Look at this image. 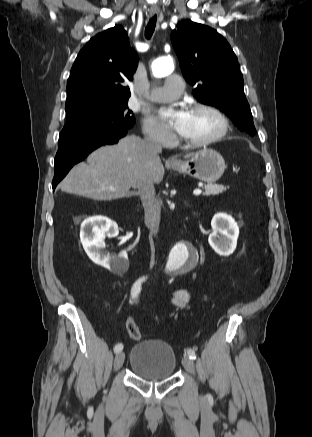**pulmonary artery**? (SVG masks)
Returning a JSON list of instances; mask_svg holds the SVG:
<instances>
[{
  "instance_id": "e3ab8cb5",
  "label": "pulmonary artery",
  "mask_w": 312,
  "mask_h": 437,
  "mask_svg": "<svg viewBox=\"0 0 312 437\" xmlns=\"http://www.w3.org/2000/svg\"><path fill=\"white\" fill-rule=\"evenodd\" d=\"M184 89V81L179 75H171L163 86L154 88L148 98L155 102L170 101L178 98Z\"/></svg>"
}]
</instances>
